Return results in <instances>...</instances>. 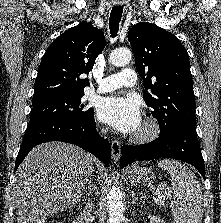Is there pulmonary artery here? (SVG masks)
<instances>
[{"mask_svg": "<svg viewBox=\"0 0 221 223\" xmlns=\"http://www.w3.org/2000/svg\"><path fill=\"white\" fill-rule=\"evenodd\" d=\"M137 76L136 72L132 68H125L122 71L108 75L98 80V89L99 93H105L122 86L131 87L136 84Z\"/></svg>", "mask_w": 221, "mask_h": 223, "instance_id": "1", "label": "pulmonary artery"}]
</instances>
